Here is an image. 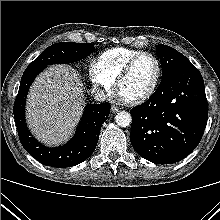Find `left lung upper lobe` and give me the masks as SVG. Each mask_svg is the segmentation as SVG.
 <instances>
[{
  "label": "left lung upper lobe",
  "instance_id": "obj_1",
  "mask_svg": "<svg viewBox=\"0 0 220 220\" xmlns=\"http://www.w3.org/2000/svg\"><path fill=\"white\" fill-rule=\"evenodd\" d=\"M156 48L157 55L160 57L163 76L173 69L192 64L183 54L172 47L167 45H157Z\"/></svg>",
  "mask_w": 220,
  "mask_h": 220
}]
</instances>
